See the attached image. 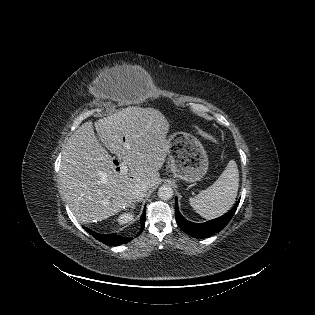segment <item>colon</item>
Instances as JSON below:
<instances>
[{"mask_svg": "<svg viewBox=\"0 0 315 315\" xmlns=\"http://www.w3.org/2000/svg\"><path fill=\"white\" fill-rule=\"evenodd\" d=\"M199 131H200V133H201L204 137L210 139V140L213 141V142H217L216 138H215L211 133L206 132V131H204V130H202V129H199Z\"/></svg>", "mask_w": 315, "mask_h": 315, "instance_id": "obj_1", "label": "colon"}]
</instances>
